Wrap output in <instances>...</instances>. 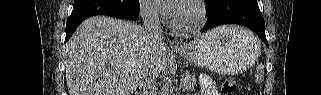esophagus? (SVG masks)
<instances>
[{
	"label": "esophagus",
	"instance_id": "esophagus-1",
	"mask_svg": "<svg viewBox=\"0 0 321 95\" xmlns=\"http://www.w3.org/2000/svg\"><path fill=\"white\" fill-rule=\"evenodd\" d=\"M182 44L179 42V41H176V40H172L170 42V47H173V48H178V47H181Z\"/></svg>",
	"mask_w": 321,
	"mask_h": 95
}]
</instances>
